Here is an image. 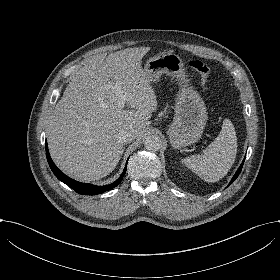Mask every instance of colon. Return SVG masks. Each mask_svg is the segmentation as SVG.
<instances>
[{"mask_svg": "<svg viewBox=\"0 0 280 280\" xmlns=\"http://www.w3.org/2000/svg\"><path fill=\"white\" fill-rule=\"evenodd\" d=\"M188 65L194 72L198 73L202 77L204 82L208 81L210 70L206 63L193 58L188 62Z\"/></svg>", "mask_w": 280, "mask_h": 280, "instance_id": "5ec220e1", "label": "colon"}]
</instances>
